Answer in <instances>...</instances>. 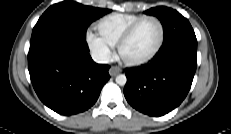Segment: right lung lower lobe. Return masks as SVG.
I'll return each mask as SVG.
<instances>
[{"label":"right lung lower lobe","instance_id":"1","mask_svg":"<svg viewBox=\"0 0 231 134\" xmlns=\"http://www.w3.org/2000/svg\"><path fill=\"white\" fill-rule=\"evenodd\" d=\"M28 68L40 100L62 115L89 109L110 78L109 66L92 60L84 38L59 29L31 38Z\"/></svg>","mask_w":231,"mask_h":134}]
</instances>
